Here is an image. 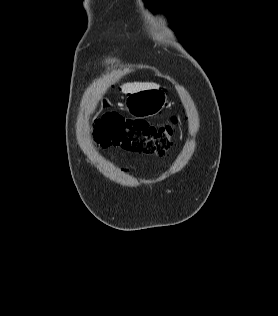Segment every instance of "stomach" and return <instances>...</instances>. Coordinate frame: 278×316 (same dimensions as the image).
Masks as SVG:
<instances>
[{
	"label": "stomach",
	"instance_id": "obj_1",
	"mask_svg": "<svg viewBox=\"0 0 278 316\" xmlns=\"http://www.w3.org/2000/svg\"><path fill=\"white\" fill-rule=\"evenodd\" d=\"M166 103V92L159 88H152L127 94L124 107L134 118H147L158 114Z\"/></svg>",
	"mask_w": 278,
	"mask_h": 316
}]
</instances>
